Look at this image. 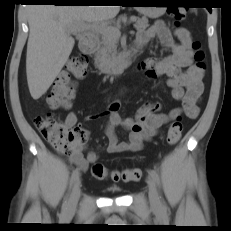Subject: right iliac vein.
Returning a JSON list of instances; mask_svg holds the SVG:
<instances>
[{"instance_id":"right-iliac-vein-1","label":"right iliac vein","mask_w":231,"mask_h":231,"mask_svg":"<svg viewBox=\"0 0 231 231\" xmlns=\"http://www.w3.org/2000/svg\"><path fill=\"white\" fill-rule=\"evenodd\" d=\"M80 193H81V180L77 179L74 183L71 197H70L68 205H67V210L69 212L72 213L76 210V207H77V204L79 201V197H80Z\"/></svg>"}]
</instances>
